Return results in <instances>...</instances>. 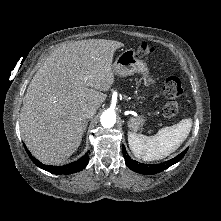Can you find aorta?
Returning <instances> with one entry per match:
<instances>
[{"mask_svg": "<svg viewBox=\"0 0 221 221\" xmlns=\"http://www.w3.org/2000/svg\"><path fill=\"white\" fill-rule=\"evenodd\" d=\"M100 122L104 128L113 127L114 124L116 123L115 113L109 110L104 111L100 117Z\"/></svg>", "mask_w": 221, "mask_h": 221, "instance_id": "762f6f07", "label": "aorta"}]
</instances>
